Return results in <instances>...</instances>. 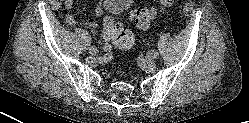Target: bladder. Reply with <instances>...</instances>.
Listing matches in <instances>:
<instances>
[{
  "label": "bladder",
  "instance_id": "31cf9c89",
  "mask_svg": "<svg viewBox=\"0 0 249 123\" xmlns=\"http://www.w3.org/2000/svg\"><path fill=\"white\" fill-rule=\"evenodd\" d=\"M132 0H103V12L117 18L131 9Z\"/></svg>",
  "mask_w": 249,
  "mask_h": 123
}]
</instances>
